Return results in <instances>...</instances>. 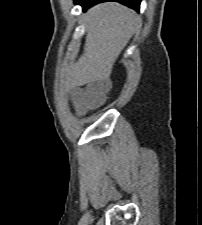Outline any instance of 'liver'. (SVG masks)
<instances>
[{
    "label": "liver",
    "instance_id": "6515ba94",
    "mask_svg": "<svg viewBox=\"0 0 202 225\" xmlns=\"http://www.w3.org/2000/svg\"><path fill=\"white\" fill-rule=\"evenodd\" d=\"M139 21L132 9L119 3H102L90 8L85 15L87 36L84 53L67 69L66 82L84 85L108 80L115 61Z\"/></svg>",
    "mask_w": 202,
    "mask_h": 225
}]
</instances>
